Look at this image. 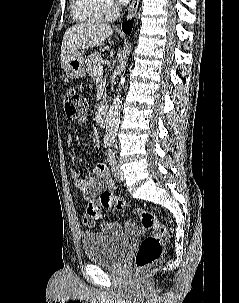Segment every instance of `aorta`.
I'll return each instance as SVG.
<instances>
[{
    "mask_svg": "<svg viewBox=\"0 0 239 303\" xmlns=\"http://www.w3.org/2000/svg\"><path fill=\"white\" fill-rule=\"evenodd\" d=\"M126 82V77L123 75L118 85L117 96L113 99L110 105L108 114L106 116V131L104 140L109 142H115L117 131L120 124V113L122 109V100L120 92Z\"/></svg>",
    "mask_w": 239,
    "mask_h": 303,
    "instance_id": "obj_1",
    "label": "aorta"
}]
</instances>
